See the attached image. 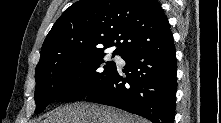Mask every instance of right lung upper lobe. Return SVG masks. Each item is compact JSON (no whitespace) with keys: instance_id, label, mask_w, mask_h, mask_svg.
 Segmentation results:
<instances>
[{"instance_id":"right-lung-upper-lobe-1","label":"right lung upper lobe","mask_w":221,"mask_h":123,"mask_svg":"<svg viewBox=\"0 0 221 123\" xmlns=\"http://www.w3.org/2000/svg\"><path fill=\"white\" fill-rule=\"evenodd\" d=\"M156 0H83L65 10L48 33L37 65L117 46L114 52L159 43L171 36Z\"/></svg>"}]
</instances>
